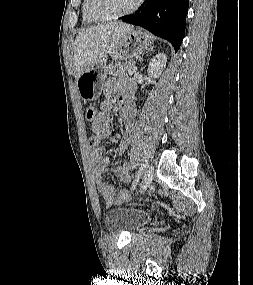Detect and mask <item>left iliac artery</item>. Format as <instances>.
<instances>
[{
    "label": "left iliac artery",
    "mask_w": 253,
    "mask_h": 285,
    "mask_svg": "<svg viewBox=\"0 0 253 285\" xmlns=\"http://www.w3.org/2000/svg\"><path fill=\"white\" fill-rule=\"evenodd\" d=\"M146 164H147V160H146V158H143L141 166H140V168H139V170H138V172L136 174V177H135V179H134V181L132 183L131 191H133L136 188V186H137V184L139 182L140 176L142 175V173H143V171H144V169L146 167Z\"/></svg>",
    "instance_id": "obj_1"
}]
</instances>
